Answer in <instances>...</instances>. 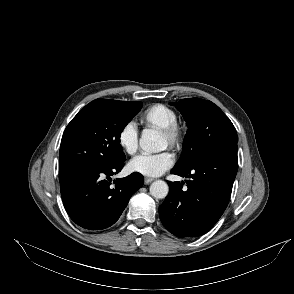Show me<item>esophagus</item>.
<instances>
[{
	"label": "esophagus",
	"mask_w": 294,
	"mask_h": 294,
	"mask_svg": "<svg viewBox=\"0 0 294 294\" xmlns=\"http://www.w3.org/2000/svg\"><path fill=\"white\" fill-rule=\"evenodd\" d=\"M154 180H155L154 178L145 177L144 182H145V184H150V183L153 182Z\"/></svg>",
	"instance_id": "obj_1"
}]
</instances>
